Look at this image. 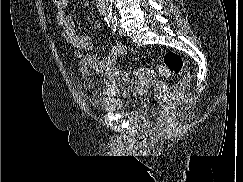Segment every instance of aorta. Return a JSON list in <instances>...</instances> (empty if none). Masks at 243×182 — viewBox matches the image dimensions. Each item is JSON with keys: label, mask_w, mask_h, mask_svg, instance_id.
I'll list each match as a JSON object with an SVG mask.
<instances>
[{"label": "aorta", "mask_w": 243, "mask_h": 182, "mask_svg": "<svg viewBox=\"0 0 243 182\" xmlns=\"http://www.w3.org/2000/svg\"><path fill=\"white\" fill-rule=\"evenodd\" d=\"M97 8L107 21L114 19L112 12V0H96Z\"/></svg>", "instance_id": "aorta-1"}]
</instances>
